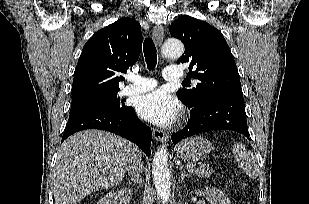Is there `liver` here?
<instances>
[{
  "mask_svg": "<svg viewBox=\"0 0 309 204\" xmlns=\"http://www.w3.org/2000/svg\"><path fill=\"white\" fill-rule=\"evenodd\" d=\"M139 155L136 145L106 131L85 130L70 136L58 149L55 204H77L95 191L117 185Z\"/></svg>",
  "mask_w": 309,
  "mask_h": 204,
  "instance_id": "1",
  "label": "liver"
}]
</instances>
